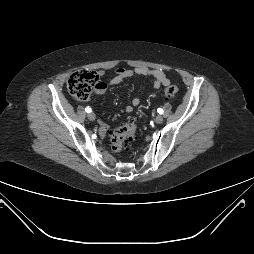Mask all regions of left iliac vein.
<instances>
[{
  "mask_svg": "<svg viewBox=\"0 0 254 254\" xmlns=\"http://www.w3.org/2000/svg\"><path fill=\"white\" fill-rule=\"evenodd\" d=\"M155 122L157 124H161L163 122V117L161 115H158L156 118H155Z\"/></svg>",
  "mask_w": 254,
  "mask_h": 254,
  "instance_id": "1",
  "label": "left iliac vein"
}]
</instances>
